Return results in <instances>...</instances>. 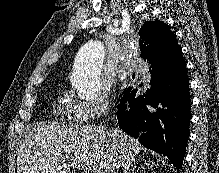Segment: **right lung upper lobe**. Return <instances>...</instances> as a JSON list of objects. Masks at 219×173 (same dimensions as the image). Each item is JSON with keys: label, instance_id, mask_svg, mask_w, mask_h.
Listing matches in <instances>:
<instances>
[{"label": "right lung upper lobe", "instance_id": "1", "mask_svg": "<svg viewBox=\"0 0 219 173\" xmlns=\"http://www.w3.org/2000/svg\"><path fill=\"white\" fill-rule=\"evenodd\" d=\"M139 36L141 56L144 60L157 53L162 56L161 59L166 56L170 60L174 57H182V50L176 36L162 21L145 22L139 30Z\"/></svg>", "mask_w": 219, "mask_h": 173}]
</instances>
